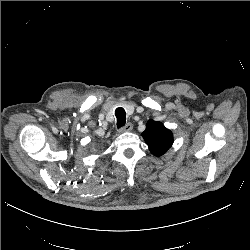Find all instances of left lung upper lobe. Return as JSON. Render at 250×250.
I'll use <instances>...</instances> for the list:
<instances>
[{
  "label": "left lung upper lobe",
  "mask_w": 250,
  "mask_h": 250,
  "mask_svg": "<svg viewBox=\"0 0 250 250\" xmlns=\"http://www.w3.org/2000/svg\"><path fill=\"white\" fill-rule=\"evenodd\" d=\"M151 153L157 157L163 155L173 144V134L161 122L149 120L142 133Z\"/></svg>",
  "instance_id": "5c2ea615"
}]
</instances>
